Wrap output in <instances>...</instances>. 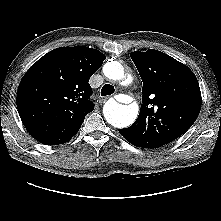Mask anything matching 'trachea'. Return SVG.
Here are the masks:
<instances>
[{
  "mask_svg": "<svg viewBox=\"0 0 221 221\" xmlns=\"http://www.w3.org/2000/svg\"><path fill=\"white\" fill-rule=\"evenodd\" d=\"M115 91L114 86L105 84L101 89V96H107L113 94Z\"/></svg>",
  "mask_w": 221,
  "mask_h": 221,
  "instance_id": "1",
  "label": "trachea"
}]
</instances>
